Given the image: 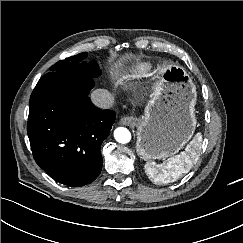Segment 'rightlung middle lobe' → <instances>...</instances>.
Listing matches in <instances>:
<instances>
[{"mask_svg":"<svg viewBox=\"0 0 243 243\" xmlns=\"http://www.w3.org/2000/svg\"><path fill=\"white\" fill-rule=\"evenodd\" d=\"M87 52L77 54L57 62L51 66L50 72L41 78L71 79V78H93L101 74L95 61L86 62Z\"/></svg>","mask_w":243,"mask_h":243,"instance_id":"right-lung-middle-lobe-1","label":"right lung middle lobe"}]
</instances>
